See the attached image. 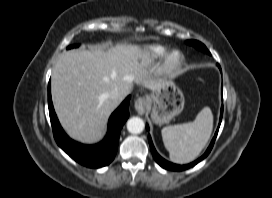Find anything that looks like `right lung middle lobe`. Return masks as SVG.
<instances>
[{
    "mask_svg": "<svg viewBox=\"0 0 272 198\" xmlns=\"http://www.w3.org/2000/svg\"><path fill=\"white\" fill-rule=\"evenodd\" d=\"M73 47H77V45H71L68 47V49L73 48Z\"/></svg>",
    "mask_w": 272,
    "mask_h": 198,
    "instance_id": "right-lung-middle-lobe-1",
    "label": "right lung middle lobe"
}]
</instances>
